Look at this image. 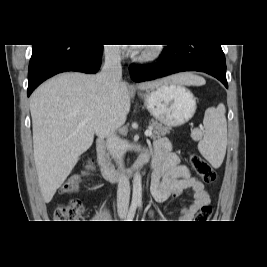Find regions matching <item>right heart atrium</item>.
<instances>
[{
	"label": "right heart atrium",
	"mask_w": 267,
	"mask_h": 267,
	"mask_svg": "<svg viewBox=\"0 0 267 267\" xmlns=\"http://www.w3.org/2000/svg\"><path fill=\"white\" fill-rule=\"evenodd\" d=\"M107 54L111 58H115L118 55V52L115 49H109L107 50Z\"/></svg>",
	"instance_id": "d8ad5b80"
}]
</instances>
